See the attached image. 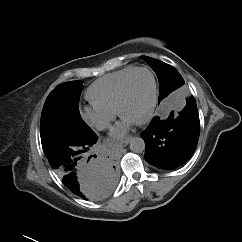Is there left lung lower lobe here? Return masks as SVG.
Wrapping results in <instances>:
<instances>
[{
	"instance_id": "1",
	"label": "left lung lower lobe",
	"mask_w": 242,
	"mask_h": 242,
	"mask_svg": "<svg viewBox=\"0 0 242 242\" xmlns=\"http://www.w3.org/2000/svg\"><path fill=\"white\" fill-rule=\"evenodd\" d=\"M199 133V114L195 99L191 96L179 115H174L172 111L166 120L155 117L141 133L146 146L144 158L159 169H176L194 153Z\"/></svg>"
}]
</instances>
